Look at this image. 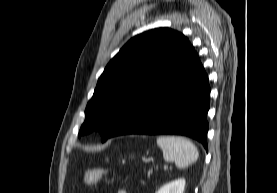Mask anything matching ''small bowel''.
I'll return each mask as SVG.
<instances>
[{
	"instance_id": "c3829d8e",
	"label": "small bowel",
	"mask_w": 277,
	"mask_h": 193,
	"mask_svg": "<svg viewBox=\"0 0 277 193\" xmlns=\"http://www.w3.org/2000/svg\"><path fill=\"white\" fill-rule=\"evenodd\" d=\"M117 193H127V192L123 189H120V190L117 191Z\"/></svg>"
}]
</instances>
